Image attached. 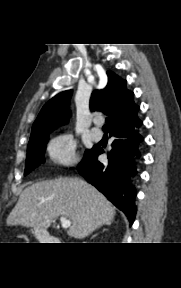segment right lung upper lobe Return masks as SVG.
<instances>
[{
    "instance_id": "obj_1",
    "label": "right lung upper lobe",
    "mask_w": 181,
    "mask_h": 288,
    "mask_svg": "<svg viewBox=\"0 0 181 288\" xmlns=\"http://www.w3.org/2000/svg\"><path fill=\"white\" fill-rule=\"evenodd\" d=\"M108 84L102 90H95L90 100V109L109 116L110 131L123 130L140 123L137 116L139 106L133 101L134 93L126 88V80L107 71ZM72 90L59 93L50 99L36 118L30 140L42 133H48L58 125H63L70 117L68 109Z\"/></svg>"
}]
</instances>
